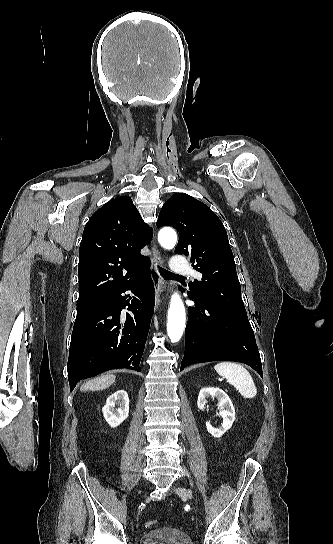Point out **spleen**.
Wrapping results in <instances>:
<instances>
[{"instance_id":"obj_1","label":"spleen","mask_w":333,"mask_h":544,"mask_svg":"<svg viewBox=\"0 0 333 544\" xmlns=\"http://www.w3.org/2000/svg\"><path fill=\"white\" fill-rule=\"evenodd\" d=\"M216 372L227 379L229 384L236 387L244 398H254L257 389L249 372L240 364L220 362L215 365Z\"/></svg>"}]
</instances>
